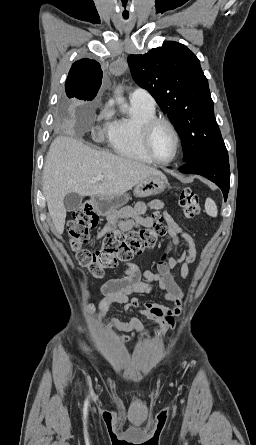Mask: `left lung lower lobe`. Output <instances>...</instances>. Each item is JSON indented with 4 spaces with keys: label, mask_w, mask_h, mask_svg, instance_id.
Returning a JSON list of instances; mask_svg holds the SVG:
<instances>
[{
    "label": "left lung lower lobe",
    "mask_w": 256,
    "mask_h": 445,
    "mask_svg": "<svg viewBox=\"0 0 256 445\" xmlns=\"http://www.w3.org/2000/svg\"><path fill=\"white\" fill-rule=\"evenodd\" d=\"M182 173L202 175L220 187L226 201L230 186L227 151L210 152L195 157L179 168Z\"/></svg>",
    "instance_id": "obj_1"
}]
</instances>
